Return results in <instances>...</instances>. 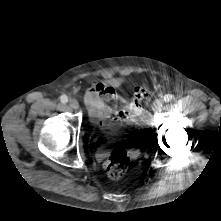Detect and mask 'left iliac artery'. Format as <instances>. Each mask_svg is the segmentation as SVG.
<instances>
[{
  "mask_svg": "<svg viewBox=\"0 0 221 221\" xmlns=\"http://www.w3.org/2000/svg\"><path fill=\"white\" fill-rule=\"evenodd\" d=\"M172 99H174V95H172V94H167V95H165L164 98H163V100H164L165 102H169V101H171Z\"/></svg>",
  "mask_w": 221,
  "mask_h": 221,
  "instance_id": "1",
  "label": "left iliac artery"
}]
</instances>
